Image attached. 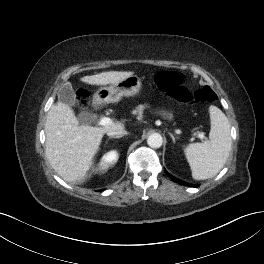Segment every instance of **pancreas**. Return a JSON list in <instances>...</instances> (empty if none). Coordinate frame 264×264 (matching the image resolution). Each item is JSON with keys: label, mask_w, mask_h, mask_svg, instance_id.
<instances>
[{"label": "pancreas", "mask_w": 264, "mask_h": 264, "mask_svg": "<svg viewBox=\"0 0 264 264\" xmlns=\"http://www.w3.org/2000/svg\"><path fill=\"white\" fill-rule=\"evenodd\" d=\"M144 106L143 105H139L138 107H136V109L135 110H133L132 111V113L134 114V115H136V114H140V113H142V111L144 110Z\"/></svg>", "instance_id": "obj_1"}]
</instances>
